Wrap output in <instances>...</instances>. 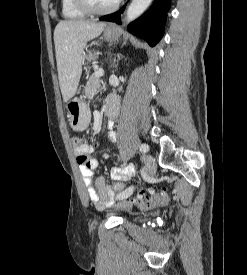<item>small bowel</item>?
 Segmentation results:
<instances>
[{
    "label": "small bowel",
    "instance_id": "small-bowel-1",
    "mask_svg": "<svg viewBox=\"0 0 247 275\" xmlns=\"http://www.w3.org/2000/svg\"><path fill=\"white\" fill-rule=\"evenodd\" d=\"M108 104H117L115 98H110ZM115 139V134L109 132L105 138ZM94 147L84 144L80 149L76 150L77 163L80 168L84 183L88 189V195L93 204L100 209L111 206L116 201V193L111 186L107 185L102 177H94V169L97 167V161L92 157ZM134 175L132 166L114 167L111 170V178L116 183H123Z\"/></svg>",
    "mask_w": 247,
    "mask_h": 275
}]
</instances>
